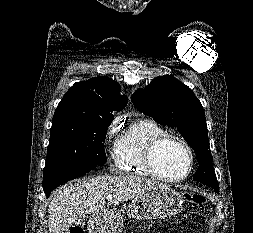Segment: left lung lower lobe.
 Returning a JSON list of instances; mask_svg holds the SVG:
<instances>
[{
  "instance_id": "obj_1",
  "label": "left lung lower lobe",
  "mask_w": 253,
  "mask_h": 233,
  "mask_svg": "<svg viewBox=\"0 0 253 233\" xmlns=\"http://www.w3.org/2000/svg\"><path fill=\"white\" fill-rule=\"evenodd\" d=\"M212 188H213L217 193H219V187L213 186Z\"/></svg>"
}]
</instances>
